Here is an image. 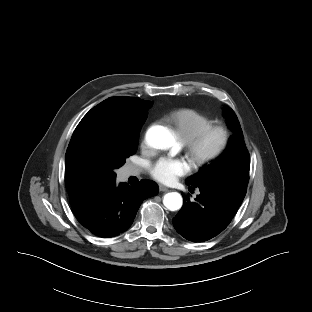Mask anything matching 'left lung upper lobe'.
Returning <instances> with one entry per match:
<instances>
[{
    "instance_id": "left-lung-upper-lobe-1",
    "label": "left lung upper lobe",
    "mask_w": 312,
    "mask_h": 312,
    "mask_svg": "<svg viewBox=\"0 0 312 312\" xmlns=\"http://www.w3.org/2000/svg\"><path fill=\"white\" fill-rule=\"evenodd\" d=\"M227 124L235 132L227 149L215 161L186 180L192 186H210L227 192L233 200L242 203L249 181V152L243 141L242 129L234 111L227 107L224 112Z\"/></svg>"
}]
</instances>
